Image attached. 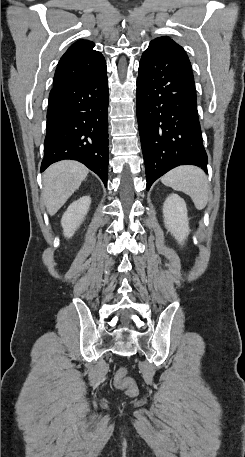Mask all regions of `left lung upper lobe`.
I'll return each instance as SVG.
<instances>
[{
  "label": "left lung upper lobe",
  "mask_w": 245,
  "mask_h": 457,
  "mask_svg": "<svg viewBox=\"0 0 245 457\" xmlns=\"http://www.w3.org/2000/svg\"><path fill=\"white\" fill-rule=\"evenodd\" d=\"M163 39H167V37L156 38L155 40L151 41V43H150L149 46H151V45H153L154 43H156V42H158V41H160V40H163Z\"/></svg>",
  "instance_id": "left-lung-upper-lobe-1"
}]
</instances>
